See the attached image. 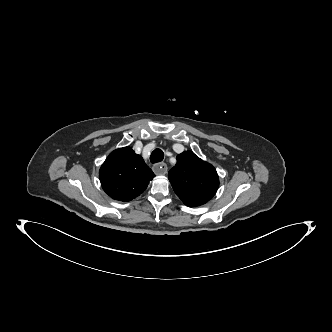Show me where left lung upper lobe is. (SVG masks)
Instances as JSON below:
<instances>
[{
    "instance_id": "5c2ea615",
    "label": "left lung upper lobe",
    "mask_w": 332,
    "mask_h": 332,
    "mask_svg": "<svg viewBox=\"0 0 332 332\" xmlns=\"http://www.w3.org/2000/svg\"><path fill=\"white\" fill-rule=\"evenodd\" d=\"M168 178L177 196L189 207L208 202L219 186L215 168L191 151L177 156V163L170 169Z\"/></svg>"
}]
</instances>
